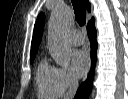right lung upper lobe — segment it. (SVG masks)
Listing matches in <instances>:
<instances>
[{
	"instance_id": "1",
	"label": "right lung upper lobe",
	"mask_w": 128,
	"mask_h": 99,
	"mask_svg": "<svg viewBox=\"0 0 128 99\" xmlns=\"http://www.w3.org/2000/svg\"><path fill=\"white\" fill-rule=\"evenodd\" d=\"M86 9L90 11V3L88 0H84ZM45 21V15L43 13H40L37 17L35 26H34V32H33V38L31 43V53L30 56H35L36 52L38 50L39 44L41 42L42 38V32H43V26Z\"/></svg>"
}]
</instances>
